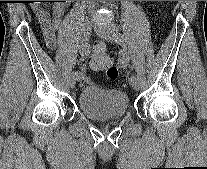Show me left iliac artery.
Masks as SVG:
<instances>
[{
  "mask_svg": "<svg viewBox=\"0 0 207 169\" xmlns=\"http://www.w3.org/2000/svg\"><path fill=\"white\" fill-rule=\"evenodd\" d=\"M117 28V27H116ZM128 54V48L126 47L125 49H121V53H119V58L118 59V64H120V68H128V57L127 55ZM127 73H129L130 71L127 70L126 71ZM137 76L136 75H131L130 78H129V81H132L134 79H136Z\"/></svg>",
  "mask_w": 207,
  "mask_h": 169,
  "instance_id": "1",
  "label": "left iliac artery"
}]
</instances>
